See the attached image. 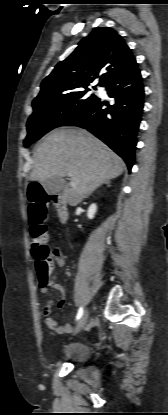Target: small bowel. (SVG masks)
I'll list each match as a JSON object with an SVG mask.
<instances>
[{
  "label": "small bowel",
  "mask_w": 168,
  "mask_h": 415,
  "mask_svg": "<svg viewBox=\"0 0 168 415\" xmlns=\"http://www.w3.org/2000/svg\"><path fill=\"white\" fill-rule=\"evenodd\" d=\"M53 255H54V258H55L58 265L61 266V265L64 264V258H63L62 253L59 249H55L53 251ZM53 286L57 290H59L60 293H61V299L58 303V307L60 309H63L65 307V291H64V288L59 284H54ZM48 291L49 290H48L47 286H41L40 292L42 294H47ZM42 312H43V315L45 317V323L50 329L55 330L56 332H60V333L61 332H66L70 329V326L68 324L60 325L52 317V315H51V312H52L51 311V302H47V304L43 307Z\"/></svg>",
  "instance_id": "obj_1"
}]
</instances>
